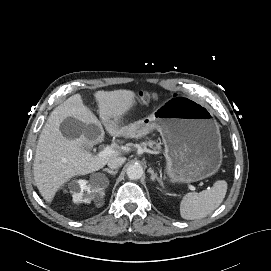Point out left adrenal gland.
Here are the masks:
<instances>
[{
  "label": "left adrenal gland",
  "instance_id": "1",
  "mask_svg": "<svg viewBox=\"0 0 271 271\" xmlns=\"http://www.w3.org/2000/svg\"><path fill=\"white\" fill-rule=\"evenodd\" d=\"M148 172L151 174V180L153 182L157 181L160 184V186L163 185L162 180L160 178H158L157 174L154 172L153 169L149 168Z\"/></svg>",
  "mask_w": 271,
  "mask_h": 271
}]
</instances>
